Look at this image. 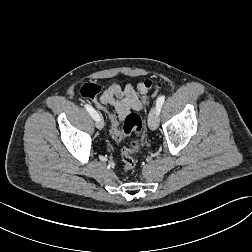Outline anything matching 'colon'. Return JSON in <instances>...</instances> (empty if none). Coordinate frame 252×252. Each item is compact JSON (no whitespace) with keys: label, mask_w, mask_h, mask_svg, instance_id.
Segmentation results:
<instances>
[{"label":"colon","mask_w":252,"mask_h":252,"mask_svg":"<svg viewBox=\"0 0 252 252\" xmlns=\"http://www.w3.org/2000/svg\"><path fill=\"white\" fill-rule=\"evenodd\" d=\"M142 85L146 88V90L161 87V83H153L150 80H145ZM100 91L101 88L99 85L89 82L82 86L81 95L89 100L95 101L97 104L102 105L100 102ZM109 120L111 124V134L116 140H122L132 133L137 136L141 134L142 120L137 114H129L123 121L122 126L119 125L118 117L114 112L109 113ZM139 148L140 141L137 139L121 151L125 171H132L136 167L134 155Z\"/></svg>","instance_id":"5ec220e1"}]
</instances>
